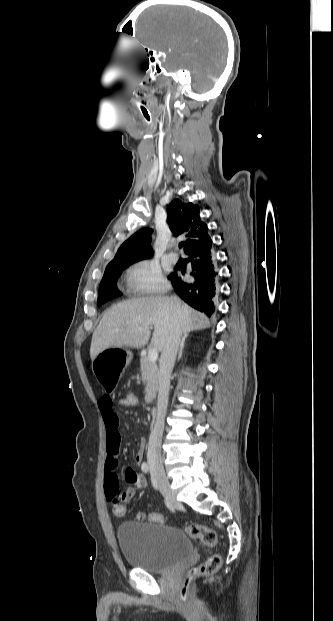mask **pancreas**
Here are the masks:
<instances>
[{
	"instance_id": "cf45deb5",
	"label": "pancreas",
	"mask_w": 333,
	"mask_h": 621,
	"mask_svg": "<svg viewBox=\"0 0 333 621\" xmlns=\"http://www.w3.org/2000/svg\"><path fill=\"white\" fill-rule=\"evenodd\" d=\"M141 374L145 387V401L152 402L158 390L159 371L155 362H151L147 356L141 357Z\"/></svg>"
}]
</instances>
